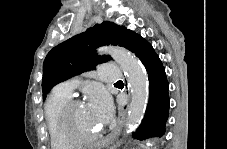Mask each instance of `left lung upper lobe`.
Listing matches in <instances>:
<instances>
[{
  "label": "left lung upper lobe",
  "mask_w": 227,
  "mask_h": 149,
  "mask_svg": "<svg viewBox=\"0 0 227 149\" xmlns=\"http://www.w3.org/2000/svg\"><path fill=\"white\" fill-rule=\"evenodd\" d=\"M131 33L123 26L105 21L51 49L43 63V100L56 84L110 60V56L96 55L94 51L99 46L111 44L127 48Z\"/></svg>",
  "instance_id": "5c2ea615"
}]
</instances>
